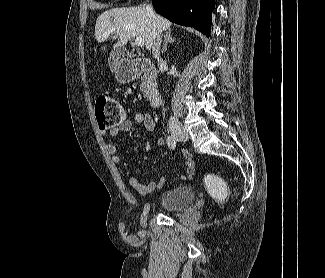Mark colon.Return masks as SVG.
<instances>
[{"label":"colon","mask_w":325,"mask_h":278,"mask_svg":"<svg viewBox=\"0 0 325 278\" xmlns=\"http://www.w3.org/2000/svg\"><path fill=\"white\" fill-rule=\"evenodd\" d=\"M95 115L101 129H114L120 126L126 118L124 107L108 95H100L95 101ZM205 185L210 194L223 200L227 194L226 181L215 174H207L204 178Z\"/></svg>","instance_id":"colon-1"}]
</instances>
